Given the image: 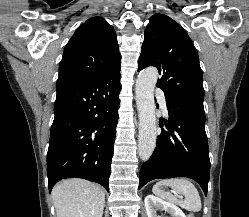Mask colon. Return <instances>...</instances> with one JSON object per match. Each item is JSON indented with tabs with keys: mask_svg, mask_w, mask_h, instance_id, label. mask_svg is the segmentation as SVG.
Wrapping results in <instances>:
<instances>
[{
	"mask_svg": "<svg viewBox=\"0 0 249 217\" xmlns=\"http://www.w3.org/2000/svg\"><path fill=\"white\" fill-rule=\"evenodd\" d=\"M188 217H195L193 214H190Z\"/></svg>",
	"mask_w": 249,
	"mask_h": 217,
	"instance_id": "1",
	"label": "colon"
}]
</instances>
